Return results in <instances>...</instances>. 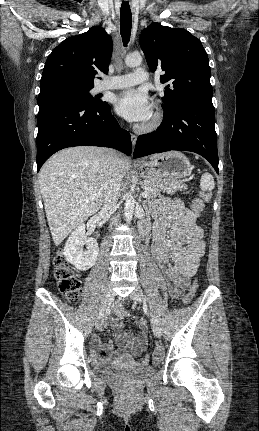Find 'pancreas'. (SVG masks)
I'll return each instance as SVG.
<instances>
[{
    "label": "pancreas",
    "mask_w": 259,
    "mask_h": 431,
    "mask_svg": "<svg viewBox=\"0 0 259 431\" xmlns=\"http://www.w3.org/2000/svg\"><path fill=\"white\" fill-rule=\"evenodd\" d=\"M142 186L148 191L147 199L156 198L160 192L172 195L179 190L184 191L188 188L183 181L160 178L145 179L142 182Z\"/></svg>",
    "instance_id": "1"
}]
</instances>
